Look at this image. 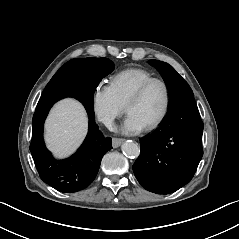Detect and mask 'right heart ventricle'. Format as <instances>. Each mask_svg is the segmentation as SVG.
<instances>
[{
  "label": "right heart ventricle",
  "instance_id": "right-heart-ventricle-1",
  "mask_svg": "<svg viewBox=\"0 0 239 239\" xmlns=\"http://www.w3.org/2000/svg\"><path fill=\"white\" fill-rule=\"evenodd\" d=\"M153 78V74L143 68H126L111 76L110 85L119 100L126 106L134 91L145 81Z\"/></svg>",
  "mask_w": 239,
  "mask_h": 239
}]
</instances>
